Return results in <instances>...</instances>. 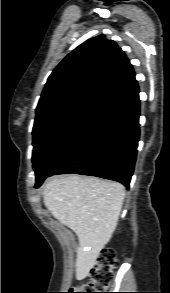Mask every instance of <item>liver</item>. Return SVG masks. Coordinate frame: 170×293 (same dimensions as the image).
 <instances>
[{"instance_id": "6515ba94", "label": "liver", "mask_w": 170, "mask_h": 293, "mask_svg": "<svg viewBox=\"0 0 170 293\" xmlns=\"http://www.w3.org/2000/svg\"><path fill=\"white\" fill-rule=\"evenodd\" d=\"M125 198L118 182L68 175L49 179L43 188L51 215L72 229L79 240L76 279L88 276L100 251L116 229Z\"/></svg>"}]
</instances>
